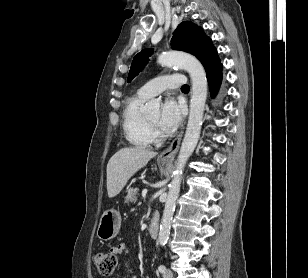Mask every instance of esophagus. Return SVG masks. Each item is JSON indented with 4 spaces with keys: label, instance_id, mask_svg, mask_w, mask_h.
I'll return each mask as SVG.
<instances>
[{
    "label": "esophagus",
    "instance_id": "obj_1",
    "mask_svg": "<svg viewBox=\"0 0 308 278\" xmlns=\"http://www.w3.org/2000/svg\"><path fill=\"white\" fill-rule=\"evenodd\" d=\"M184 127L181 129L179 134L175 137L172 143L166 148L159 156L161 161H172L178 151L181 139L183 137Z\"/></svg>",
    "mask_w": 308,
    "mask_h": 278
}]
</instances>
